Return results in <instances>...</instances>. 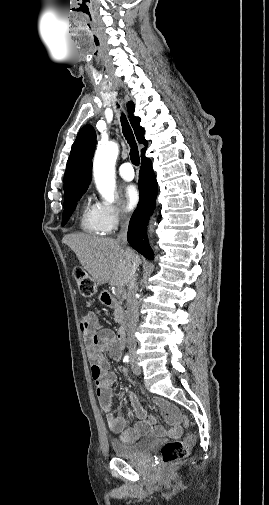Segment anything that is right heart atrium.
Segmentation results:
<instances>
[{
	"mask_svg": "<svg viewBox=\"0 0 269 505\" xmlns=\"http://www.w3.org/2000/svg\"><path fill=\"white\" fill-rule=\"evenodd\" d=\"M99 218L104 232L115 231L129 218V212L119 204L99 203Z\"/></svg>",
	"mask_w": 269,
	"mask_h": 505,
	"instance_id": "right-heart-atrium-1",
	"label": "right heart atrium"
}]
</instances>
